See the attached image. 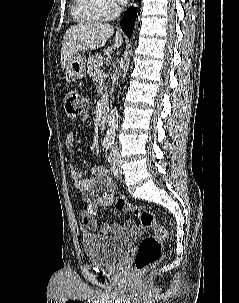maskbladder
<instances>
[{
  "instance_id": "1",
  "label": "bladder",
  "mask_w": 239,
  "mask_h": 303,
  "mask_svg": "<svg viewBox=\"0 0 239 303\" xmlns=\"http://www.w3.org/2000/svg\"><path fill=\"white\" fill-rule=\"evenodd\" d=\"M134 238L132 234L108 236L87 233L82 237V247L88 261L103 266H115L126 254Z\"/></svg>"
}]
</instances>
